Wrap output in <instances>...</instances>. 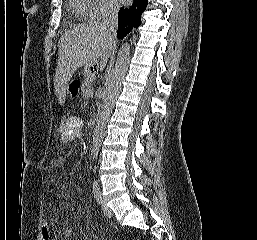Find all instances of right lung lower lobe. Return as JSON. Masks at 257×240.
I'll return each mask as SVG.
<instances>
[{
	"instance_id": "98d812e1",
	"label": "right lung lower lobe",
	"mask_w": 257,
	"mask_h": 240,
	"mask_svg": "<svg viewBox=\"0 0 257 240\" xmlns=\"http://www.w3.org/2000/svg\"><path fill=\"white\" fill-rule=\"evenodd\" d=\"M147 0H134L130 7H121L118 12V39H123L133 27L141 24V15L144 12Z\"/></svg>"
}]
</instances>
